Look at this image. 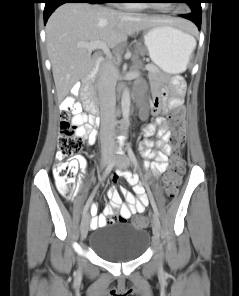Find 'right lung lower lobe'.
<instances>
[{"label": "right lung lower lobe", "instance_id": "right-lung-lower-lobe-1", "mask_svg": "<svg viewBox=\"0 0 239 296\" xmlns=\"http://www.w3.org/2000/svg\"><path fill=\"white\" fill-rule=\"evenodd\" d=\"M44 24H46L51 13L63 3H106L100 0H45Z\"/></svg>", "mask_w": 239, "mask_h": 296}]
</instances>
